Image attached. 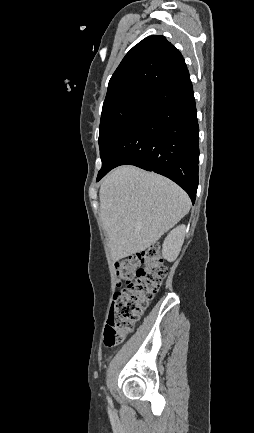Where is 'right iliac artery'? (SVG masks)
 Wrapping results in <instances>:
<instances>
[{
    "label": "right iliac artery",
    "instance_id": "1",
    "mask_svg": "<svg viewBox=\"0 0 254 433\" xmlns=\"http://www.w3.org/2000/svg\"><path fill=\"white\" fill-rule=\"evenodd\" d=\"M108 402H111V399L109 397H107Z\"/></svg>",
    "mask_w": 254,
    "mask_h": 433
}]
</instances>
